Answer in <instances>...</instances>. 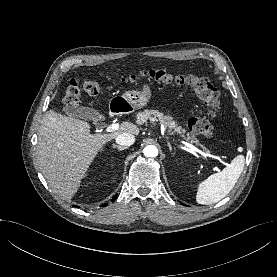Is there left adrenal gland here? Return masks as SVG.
Listing matches in <instances>:
<instances>
[{"mask_svg": "<svg viewBox=\"0 0 277 277\" xmlns=\"http://www.w3.org/2000/svg\"><path fill=\"white\" fill-rule=\"evenodd\" d=\"M167 144H168L169 150L172 151V145L169 142ZM172 155L174 156L175 154L172 153Z\"/></svg>", "mask_w": 277, "mask_h": 277, "instance_id": "left-adrenal-gland-1", "label": "left adrenal gland"}]
</instances>
